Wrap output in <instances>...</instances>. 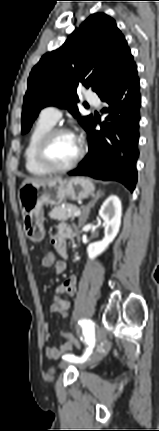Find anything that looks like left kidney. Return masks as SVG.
<instances>
[{"label": "left kidney", "mask_w": 159, "mask_h": 431, "mask_svg": "<svg viewBox=\"0 0 159 431\" xmlns=\"http://www.w3.org/2000/svg\"><path fill=\"white\" fill-rule=\"evenodd\" d=\"M99 215L105 223L104 238L88 245V257L92 260L107 249L119 232L122 217L120 199L115 195L109 196L102 204Z\"/></svg>", "instance_id": "1"}]
</instances>
